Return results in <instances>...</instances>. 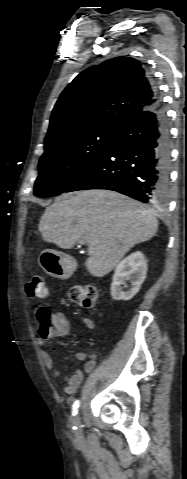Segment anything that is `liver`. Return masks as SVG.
Here are the masks:
<instances>
[{"mask_svg":"<svg viewBox=\"0 0 187 479\" xmlns=\"http://www.w3.org/2000/svg\"><path fill=\"white\" fill-rule=\"evenodd\" d=\"M157 229L158 220L151 209L109 190L58 197L39 222L43 240L62 249L85 241L86 267L95 277L111 272L131 248L150 240Z\"/></svg>","mask_w":187,"mask_h":479,"instance_id":"1","label":"liver"}]
</instances>
